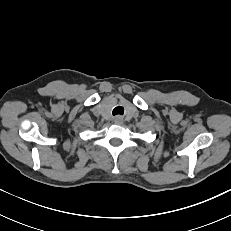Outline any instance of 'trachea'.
Wrapping results in <instances>:
<instances>
[{"label": "trachea", "mask_w": 231, "mask_h": 231, "mask_svg": "<svg viewBox=\"0 0 231 231\" xmlns=\"http://www.w3.org/2000/svg\"><path fill=\"white\" fill-rule=\"evenodd\" d=\"M113 115H123L124 113V108L122 106H117L113 109Z\"/></svg>", "instance_id": "obj_1"}]
</instances>
